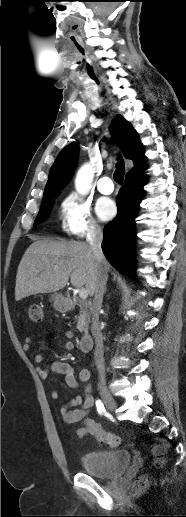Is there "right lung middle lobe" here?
Returning <instances> with one entry per match:
<instances>
[{"label":"right lung middle lobe","instance_id":"obj_1","mask_svg":"<svg viewBox=\"0 0 186 517\" xmlns=\"http://www.w3.org/2000/svg\"><path fill=\"white\" fill-rule=\"evenodd\" d=\"M56 195L57 193H52L43 198L39 213L35 219L34 224L41 223L48 217Z\"/></svg>","mask_w":186,"mask_h":517}]
</instances>
